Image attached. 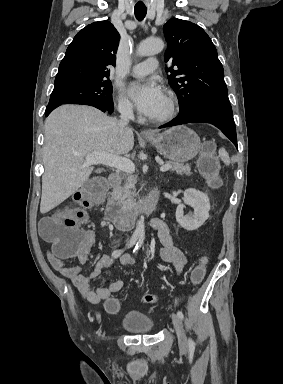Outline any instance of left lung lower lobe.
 Returning a JSON list of instances; mask_svg holds the SVG:
<instances>
[{
    "label": "left lung lower lobe",
    "instance_id": "1",
    "mask_svg": "<svg viewBox=\"0 0 283 384\" xmlns=\"http://www.w3.org/2000/svg\"><path fill=\"white\" fill-rule=\"evenodd\" d=\"M198 122H207L215 125L233 142L236 148H238L235 123L232 108L229 103L199 106L186 113L179 114L175 119L160 126V128Z\"/></svg>",
    "mask_w": 283,
    "mask_h": 384
}]
</instances>
